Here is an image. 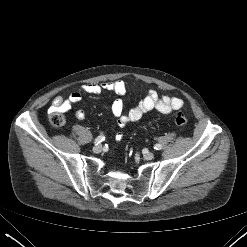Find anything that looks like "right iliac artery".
<instances>
[{
	"instance_id": "obj_1",
	"label": "right iliac artery",
	"mask_w": 247,
	"mask_h": 247,
	"mask_svg": "<svg viewBox=\"0 0 247 247\" xmlns=\"http://www.w3.org/2000/svg\"><path fill=\"white\" fill-rule=\"evenodd\" d=\"M104 139H105L104 135H100V136H98V137L95 139L94 144H95V145H98V144L101 143Z\"/></svg>"
}]
</instances>
